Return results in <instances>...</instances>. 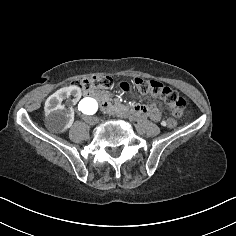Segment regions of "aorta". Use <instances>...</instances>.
Instances as JSON below:
<instances>
[{
  "mask_svg": "<svg viewBox=\"0 0 236 236\" xmlns=\"http://www.w3.org/2000/svg\"><path fill=\"white\" fill-rule=\"evenodd\" d=\"M79 110L84 117L94 115L98 111V102L92 97H86L80 103Z\"/></svg>",
  "mask_w": 236,
  "mask_h": 236,
  "instance_id": "1",
  "label": "aorta"
}]
</instances>
